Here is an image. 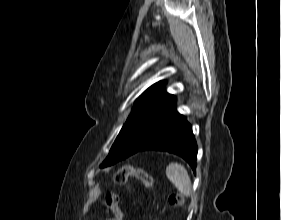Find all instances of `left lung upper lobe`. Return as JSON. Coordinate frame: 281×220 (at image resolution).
Masks as SVG:
<instances>
[{
	"mask_svg": "<svg viewBox=\"0 0 281 220\" xmlns=\"http://www.w3.org/2000/svg\"><path fill=\"white\" fill-rule=\"evenodd\" d=\"M165 81L149 87L137 100L111 147L109 155L100 165L110 166L138 152L152 137L165 116L176 104L174 95L164 90Z\"/></svg>",
	"mask_w": 281,
	"mask_h": 220,
	"instance_id": "left-lung-upper-lobe-1",
	"label": "left lung upper lobe"
}]
</instances>
